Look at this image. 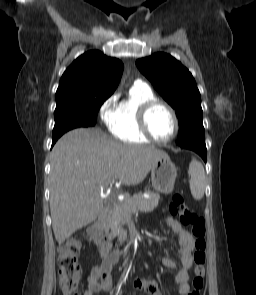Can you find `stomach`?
Returning a JSON list of instances; mask_svg holds the SVG:
<instances>
[{"label":"stomach","instance_id":"1","mask_svg":"<svg viewBox=\"0 0 256 295\" xmlns=\"http://www.w3.org/2000/svg\"><path fill=\"white\" fill-rule=\"evenodd\" d=\"M177 177V168L168 155L159 158L151 169L153 188L161 193L173 191Z\"/></svg>","mask_w":256,"mask_h":295}]
</instances>
